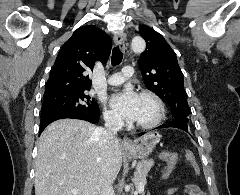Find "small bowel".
<instances>
[{
	"label": "small bowel",
	"mask_w": 240,
	"mask_h": 195,
	"mask_svg": "<svg viewBox=\"0 0 240 195\" xmlns=\"http://www.w3.org/2000/svg\"><path fill=\"white\" fill-rule=\"evenodd\" d=\"M184 191L187 195H206V192L202 191L196 183L187 184ZM176 192V188H169L163 193V195H175Z\"/></svg>",
	"instance_id": "small-bowel-1"
}]
</instances>
